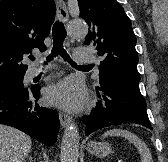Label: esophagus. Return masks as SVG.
I'll return each instance as SVG.
<instances>
[{"mask_svg":"<svg viewBox=\"0 0 168 162\" xmlns=\"http://www.w3.org/2000/svg\"><path fill=\"white\" fill-rule=\"evenodd\" d=\"M57 12L59 18L66 23L68 21L69 15L68 10L63 0H57ZM60 124L63 128L67 127L71 123V117L63 112L59 113Z\"/></svg>","mask_w":168,"mask_h":162,"instance_id":"esophagus-1","label":"esophagus"}]
</instances>
